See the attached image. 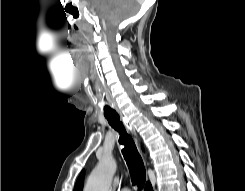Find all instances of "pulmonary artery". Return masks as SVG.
I'll return each instance as SVG.
<instances>
[{
    "mask_svg": "<svg viewBox=\"0 0 245 191\" xmlns=\"http://www.w3.org/2000/svg\"><path fill=\"white\" fill-rule=\"evenodd\" d=\"M121 191H131V190L128 189V188H124V189H122Z\"/></svg>",
    "mask_w": 245,
    "mask_h": 191,
    "instance_id": "pulmonary-artery-1",
    "label": "pulmonary artery"
}]
</instances>
